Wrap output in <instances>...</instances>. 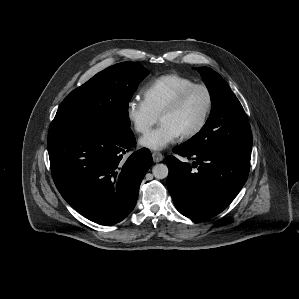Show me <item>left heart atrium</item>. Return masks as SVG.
<instances>
[{
	"mask_svg": "<svg viewBox=\"0 0 299 299\" xmlns=\"http://www.w3.org/2000/svg\"><path fill=\"white\" fill-rule=\"evenodd\" d=\"M181 133L171 124L161 123L157 128L143 136L139 143L145 148L162 150L174 143Z\"/></svg>",
	"mask_w": 299,
	"mask_h": 299,
	"instance_id": "39dd6f15",
	"label": "left heart atrium"
}]
</instances>
